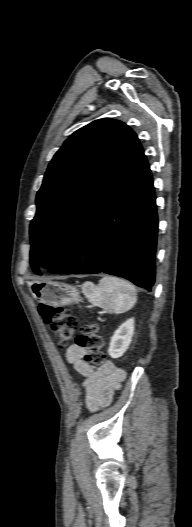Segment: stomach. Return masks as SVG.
Instances as JSON below:
<instances>
[{
    "mask_svg": "<svg viewBox=\"0 0 192 527\" xmlns=\"http://www.w3.org/2000/svg\"><path fill=\"white\" fill-rule=\"evenodd\" d=\"M29 289L37 301L52 306L70 305L82 300L76 287L58 282H30Z\"/></svg>",
    "mask_w": 192,
    "mask_h": 527,
    "instance_id": "obj_1",
    "label": "stomach"
}]
</instances>
